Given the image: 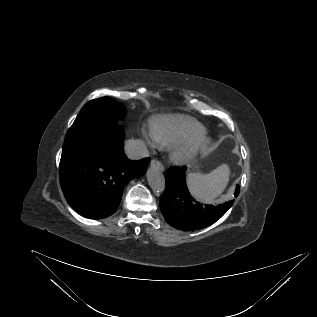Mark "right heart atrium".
<instances>
[{
	"instance_id": "obj_1",
	"label": "right heart atrium",
	"mask_w": 317,
	"mask_h": 317,
	"mask_svg": "<svg viewBox=\"0 0 317 317\" xmlns=\"http://www.w3.org/2000/svg\"><path fill=\"white\" fill-rule=\"evenodd\" d=\"M142 133H143V136L145 138V140L147 141V143L150 145V146H155V141L153 140L152 136H151V133H148L146 130H142Z\"/></svg>"
}]
</instances>
